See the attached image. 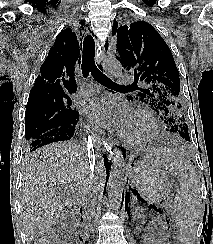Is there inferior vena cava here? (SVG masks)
Masks as SVG:
<instances>
[{"instance_id": "602c4592", "label": "inferior vena cava", "mask_w": 213, "mask_h": 244, "mask_svg": "<svg viewBox=\"0 0 213 244\" xmlns=\"http://www.w3.org/2000/svg\"><path fill=\"white\" fill-rule=\"evenodd\" d=\"M88 163H89V169L92 173V177L91 180L95 181L96 177L93 175V171L95 170V166H94V161H95V157H94V151L88 147ZM95 184L97 183L96 181L94 182ZM82 208L84 210V215L87 217V219H90L93 215H95V210H96V192H91L89 193L86 198L85 201L82 205Z\"/></svg>"}]
</instances>
